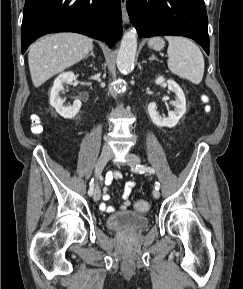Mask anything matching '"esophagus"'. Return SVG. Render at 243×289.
Returning <instances> with one entry per match:
<instances>
[{
  "mask_svg": "<svg viewBox=\"0 0 243 289\" xmlns=\"http://www.w3.org/2000/svg\"><path fill=\"white\" fill-rule=\"evenodd\" d=\"M127 0H121V7H122V19L124 23L129 22V15L126 9Z\"/></svg>",
  "mask_w": 243,
  "mask_h": 289,
  "instance_id": "esophagus-1",
  "label": "esophagus"
}]
</instances>
